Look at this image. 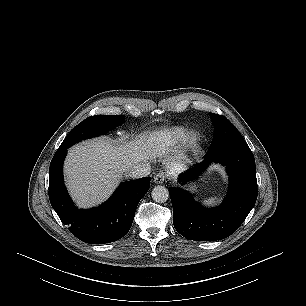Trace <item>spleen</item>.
Masks as SVG:
<instances>
[{"instance_id": "3e777b00", "label": "spleen", "mask_w": 306, "mask_h": 306, "mask_svg": "<svg viewBox=\"0 0 306 306\" xmlns=\"http://www.w3.org/2000/svg\"><path fill=\"white\" fill-rule=\"evenodd\" d=\"M219 201H220L219 197H211L209 199L203 200L202 203L211 206L217 204Z\"/></svg>"}]
</instances>
